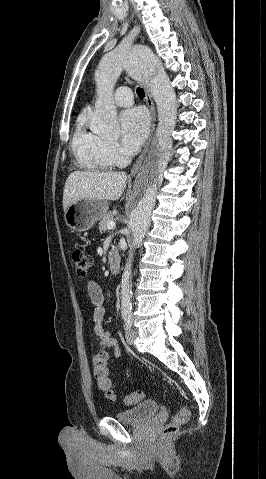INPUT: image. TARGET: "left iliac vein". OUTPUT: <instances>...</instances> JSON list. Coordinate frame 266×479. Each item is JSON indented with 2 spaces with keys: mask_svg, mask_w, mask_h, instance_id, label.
Masks as SVG:
<instances>
[{
  "mask_svg": "<svg viewBox=\"0 0 266 479\" xmlns=\"http://www.w3.org/2000/svg\"><path fill=\"white\" fill-rule=\"evenodd\" d=\"M137 337V330L129 329L126 333V341L129 345H133Z\"/></svg>",
  "mask_w": 266,
  "mask_h": 479,
  "instance_id": "obj_1",
  "label": "left iliac vein"
}]
</instances>
